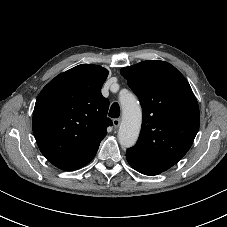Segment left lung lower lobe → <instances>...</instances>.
I'll return each instance as SVG.
<instances>
[{
  "instance_id": "obj_1",
  "label": "left lung lower lobe",
  "mask_w": 227,
  "mask_h": 227,
  "mask_svg": "<svg viewBox=\"0 0 227 227\" xmlns=\"http://www.w3.org/2000/svg\"><path fill=\"white\" fill-rule=\"evenodd\" d=\"M129 164L131 165L132 168H134L135 170H137L138 172H140L142 174L149 175V176H153V175L159 174V172L146 169V168L138 166V165H136L134 163L129 162Z\"/></svg>"
}]
</instances>
